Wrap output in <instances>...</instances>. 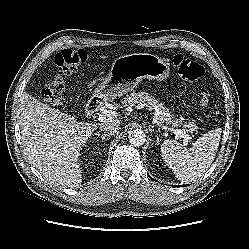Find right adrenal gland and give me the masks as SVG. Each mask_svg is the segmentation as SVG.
<instances>
[{
	"mask_svg": "<svg viewBox=\"0 0 249 249\" xmlns=\"http://www.w3.org/2000/svg\"><path fill=\"white\" fill-rule=\"evenodd\" d=\"M95 135L98 136V137H101L102 142H104V139H105L107 136H111L112 134H109V133H103V134L95 133Z\"/></svg>",
	"mask_w": 249,
	"mask_h": 249,
	"instance_id": "obj_1",
	"label": "right adrenal gland"
}]
</instances>
